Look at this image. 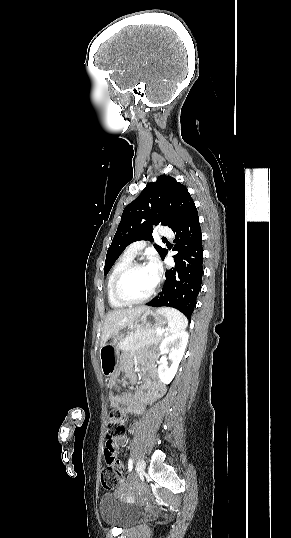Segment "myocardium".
<instances>
[{
	"label": "myocardium",
	"instance_id": "myocardium-1",
	"mask_svg": "<svg viewBox=\"0 0 291 538\" xmlns=\"http://www.w3.org/2000/svg\"><path fill=\"white\" fill-rule=\"evenodd\" d=\"M144 267H147L144 263L136 262V261L131 262L116 276L114 280V284H113V294L117 301L125 305H134V304L144 303L150 300L154 296L159 286V278L156 280L151 291L142 298L131 299V298L126 297L122 293L121 285L125 277L129 275L131 272H133L134 270L139 269V268H144Z\"/></svg>",
	"mask_w": 291,
	"mask_h": 538
}]
</instances>
